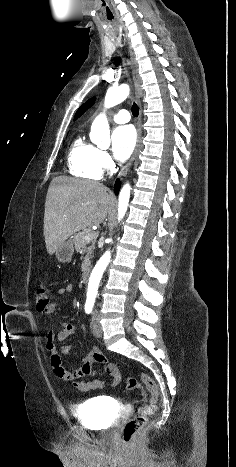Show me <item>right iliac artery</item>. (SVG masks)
Instances as JSON below:
<instances>
[{
	"mask_svg": "<svg viewBox=\"0 0 236 467\" xmlns=\"http://www.w3.org/2000/svg\"><path fill=\"white\" fill-rule=\"evenodd\" d=\"M93 305H94V304H93V303H90V302H86V303H85V312H86L87 314H90V313L92 312V310H93Z\"/></svg>",
	"mask_w": 236,
	"mask_h": 467,
	"instance_id": "obj_1",
	"label": "right iliac artery"
}]
</instances>
